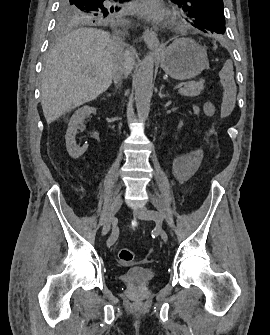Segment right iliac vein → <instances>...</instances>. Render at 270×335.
Returning <instances> with one entry per match:
<instances>
[{"mask_svg": "<svg viewBox=\"0 0 270 335\" xmlns=\"http://www.w3.org/2000/svg\"><path fill=\"white\" fill-rule=\"evenodd\" d=\"M121 205H122V198H121L120 195H117L112 202V205H111L110 210H109L108 217H107L106 222H105V224L102 228V231H101L102 235H106L109 232L111 226L114 225V223H115V218L114 217H115L116 213L118 212V210L120 209Z\"/></svg>", "mask_w": 270, "mask_h": 335, "instance_id": "1", "label": "right iliac vein"}]
</instances>
